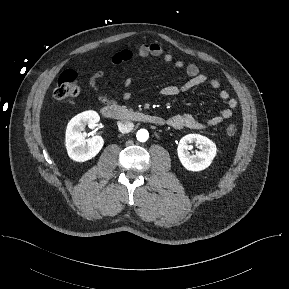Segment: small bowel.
Instances as JSON below:
<instances>
[{"instance_id": "1", "label": "small bowel", "mask_w": 289, "mask_h": 289, "mask_svg": "<svg viewBox=\"0 0 289 289\" xmlns=\"http://www.w3.org/2000/svg\"><path fill=\"white\" fill-rule=\"evenodd\" d=\"M147 57H162L165 63H173L177 69H184L188 80L180 85H167L161 88L160 94L164 97H174L185 93L191 89L208 84L212 89L219 90V97L226 101L227 107L224 108L218 115L213 116L205 121H201L190 114H177L168 119V124L174 129H194L202 130L209 127L217 126L223 121L228 120L233 115V110L238 106L236 99L231 98L230 94L225 89H220L221 84L217 79H208L207 76L201 72L196 64H187L181 60L174 61L173 56L169 53H164L162 46L159 43H145L136 49H124L114 53L110 57L111 65H120L134 59H142ZM104 70L96 71L90 78V87L104 100H116L117 97L109 98L103 91L99 81L103 78ZM131 94L124 92L121 95L122 99H129Z\"/></svg>"}]
</instances>
